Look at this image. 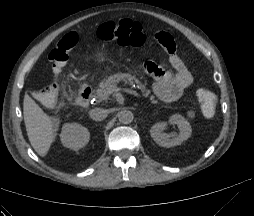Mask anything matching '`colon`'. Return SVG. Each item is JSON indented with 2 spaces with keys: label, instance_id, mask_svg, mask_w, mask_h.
Segmentation results:
<instances>
[{
  "label": "colon",
  "instance_id": "1",
  "mask_svg": "<svg viewBox=\"0 0 254 216\" xmlns=\"http://www.w3.org/2000/svg\"><path fill=\"white\" fill-rule=\"evenodd\" d=\"M96 34L102 40L117 42L121 46L141 47L147 45L153 50L163 49L160 44L155 42L154 36L148 38L145 35L144 28L141 24L130 20H123L118 23L105 22L97 28ZM77 42V34L70 32L64 35L50 51L48 58L52 65L53 73L56 76L59 75L65 67ZM196 96L203 115L207 118L214 117L217 109V99L215 94L208 88L200 87L196 91ZM36 98L44 106L53 107L59 98L57 84L52 83L44 90L37 92Z\"/></svg>",
  "mask_w": 254,
  "mask_h": 216
}]
</instances>
